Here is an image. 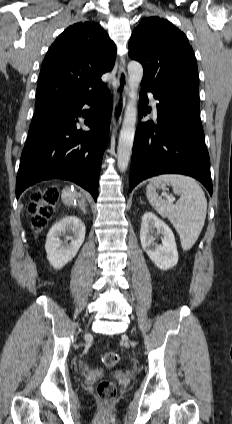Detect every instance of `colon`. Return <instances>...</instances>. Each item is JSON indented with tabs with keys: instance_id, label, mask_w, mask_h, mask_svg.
Here are the masks:
<instances>
[{
	"instance_id": "5ec220e1",
	"label": "colon",
	"mask_w": 232,
	"mask_h": 424,
	"mask_svg": "<svg viewBox=\"0 0 232 424\" xmlns=\"http://www.w3.org/2000/svg\"><path fill=\"white\" fill-rule=\"evenodd\" d=\"M57 198L58 193L52 188L43 191H35L30 195L28 209L32 216V227L35 231H42L46 227L53 213ZM117 362V352L110 351L104 354L103 363L106 367L111 368ZM97 394L103 403H109L117 395L115 383L108 380L99 382L97 385Z\"/></svg>"
}]
</instances>
